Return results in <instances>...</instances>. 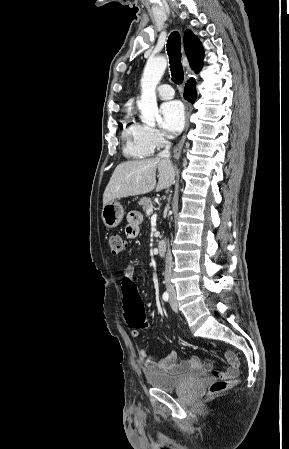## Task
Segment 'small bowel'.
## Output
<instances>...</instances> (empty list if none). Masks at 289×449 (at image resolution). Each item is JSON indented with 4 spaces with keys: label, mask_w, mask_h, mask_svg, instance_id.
<instances>
[{
    "label": "small bowel",
    "mask_w": 289,
    "mask_h": 449,
    "mask_svg": "<svg viewBox=\"0 0 289 449\" xmlns=\"http://www.w3.org/2000/svg\"><path fill=\"white\" fill-rule=\"evenodd\" d=\"M141 215L137 212H130L127 215V225L125 227V234L128 238L134 239L139 234V225L141 223ZM129 277L130 279H134V269L131 266L125 268L123 272V278ZM131 336L139 341V354L142 360V366L146 373L148 374H157V373H167V374H179L190 369H204V370H212L213 363L210 360L205 361L204 363L198 357H191L187 360H183L181 362L177 361V354L175 351H170L160 357L157 360H154L151 356H149L140 341V335L138 329H132ZM225 360L228 363V367L226 370H214L213 373H216L217 377H222L226 379H233L238 376L240 369V361L238 356L230 350H227L223 354Z\"/></svg>",
    "instance_id": "c3829d8e"
}]
</instances>
